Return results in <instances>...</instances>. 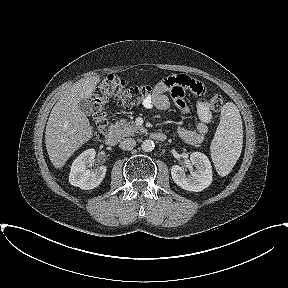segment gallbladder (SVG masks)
Wrapping results in <instances>:
<instances>
[{
	"mask_svg": "<svg viewBox=\"0 0 288 288\" xmlns=\"http://www.w3.org/2000/svg\"><path fill=\"white\" fill-rule=\"evenodd\" d=\"M79 108L87 116H90L92 113L91 104L88 102L87 99H83L80 101Z\"/></svg>",
	"mask_w": 288,
	"mask_h": 288,
	"instance_id": "gallbladder-1",
	"label": "gallbladder"
}]
</instances>
